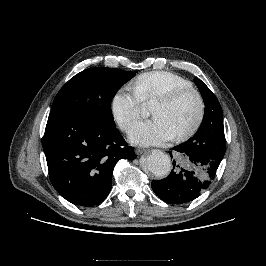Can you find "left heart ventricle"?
<instances>
[{
  "instance_id": "obj_1",
  "label": "left heart ventricle",
  "mask_w": 266,
  "mask_h": 266,
  "mask_svg": "<svg viewBox=\"0 0 266 266\" xmlns=\"http://www.w3.org/2000/svg\"><path fill=\"white\" fill-rule=\"evenodd\" d=\"M197 111V101L192 95L185 96L172 105L154 103L151 108L152 116L164 119L175 135L186 131L193 124Z\"/></svg>"
}]
</instances>
